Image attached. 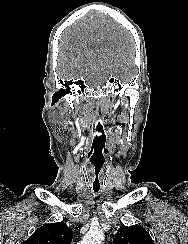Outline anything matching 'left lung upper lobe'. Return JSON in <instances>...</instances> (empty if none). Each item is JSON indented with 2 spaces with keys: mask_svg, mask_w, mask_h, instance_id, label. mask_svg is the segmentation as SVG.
I'll return each mask as SVG.
<instances>
[{
  "mask_svg": "<svg viewBox=\"0 0 188 244\" xmlns=\"http://www.w3.org/2000/svg\"><path fill=\"white\" fill-rule=\"evenodd\" d=\"M114 244H154L149 233L141 226L121 225L114 238Z\"/></svg>",
  "mask_w": 188,
  "mask_h": 244,
  "instance_id": "obj_1",
  "label": "left lung upper lobe"
}]
</instances>
